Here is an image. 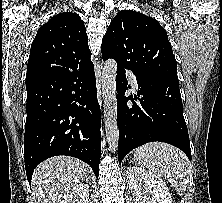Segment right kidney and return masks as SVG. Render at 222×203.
<instances>
[{
  "label": "right kidney",
  "mask_w": 222,
  "mask_h": 203,
  "mask_svg": "<svg viewBox=\"0 0 222 203\" xmlns=\"http://www.w3.org/2000/svg\"><path fill=\"white\" fill-rule=\"evenodd\" d=\"M89 186L79 183L65 193L58 203H89Z\"/></svg>",
  "instance_id": "ca27d5eb"
}]
</instances>
